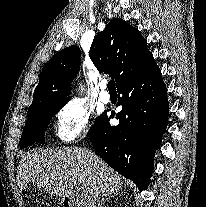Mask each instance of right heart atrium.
Masks as SVG:
<instances>
[{
  "mask_svg": "<svg viewBox=\"0 0 206 207\" xmlns=\"http://www.w3.org/2000/svg\"><path fill=\"white\" fill-rule=\"evenodd\" d=\"M91 111L79 100H70L56 113V136L62 143H71L86 135L92 126Z\"/></svg>",
  "mask_w": 206,
  "mask_h": 207,
  "instance_id": "right-heart-atrium-1",
  "label": "right heart atrium"
}]
</instances>
